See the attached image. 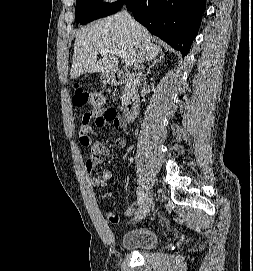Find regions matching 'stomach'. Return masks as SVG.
Listing matches in <instances>:
<instances>
[{
  "label": "stomach",
  "instance_id": "stomach-1",
  "mask_svg": "<svg viewBox=\"0 0 253 271\" xmlns=\"http://www.w3.org/2000/svg\"><path fill=\"white\" fill-rule=\"evenodd\" d=\"M103 77H104V79H105L107 82H112V81H113V77H112L111 74L104 73V74H103Z\"/></svg>",
  "mask_w": 253,
  "mask_h": 271
}]
</instances>
